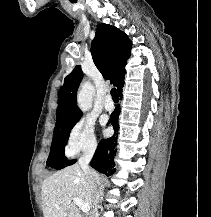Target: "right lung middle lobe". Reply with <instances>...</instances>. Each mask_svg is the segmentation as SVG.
<instances>
[{
    "label": "right lung middle lobe",
    "mask_w": 211,
    "mask_h": 217,
    "mask_svg": "<svg viewBox=\"0 0 211 217\" xmlns=\"http://www.w3.org/2000/svg\"><path fill=\"white\" fill-rule=\"evenodd\" d=\"M80 119L70 121L59 127H56L53 132V141L50 149V154L47 160V166L55 169L64 168V165H72L76 160L66 161L64 156V148L66 141L69 138V132Z\"/></svg>",
    "instance_id": "dd1d6c3e"
}]
</instances>
